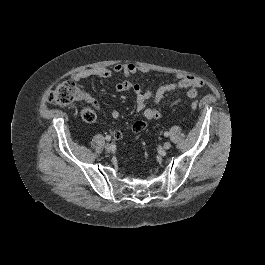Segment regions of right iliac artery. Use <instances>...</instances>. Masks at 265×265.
<instances>
[{"label": "right iliac artery", "instance_id": "obj_1", "mask_svg": "<svg viewBox=\"0 0 265 265\" xmlns=\"http://www.w3.org/2000/svg\"><path fill=\"white\" fill-rule=\"evenodd\" d=\"M105 139H106L107 141H110V140H111V136L107 135V136L105 137Z\"/></svg>", "mask_w": 265, "mask_h": 265}]
</instances>
